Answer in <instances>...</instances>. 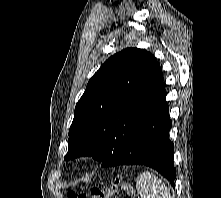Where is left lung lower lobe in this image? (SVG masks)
<instances>
[{
	"label": "left lung lower lobe",
	"mask_w": 221,
	"mask_h": 198,
	"mask_svg": "<svg viewBox=\"0 0 221 198\" xmlns=\"http://www.w3.org/2000/svg\"><path fill=\"white\" fill-rule=\"evenodd\" d=\"M165 98L166 94L120 149L102 162V167L145 165L164 175L175 188L174 145L169 139L172 122Z\"/></svg>",
	"instance_id": "obj_1"
}]
</instances>
